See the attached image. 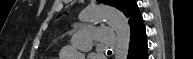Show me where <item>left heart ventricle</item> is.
I'll list each match as a JSON object with an SVG mask.
<instances>
[{
    "instance_id": "left-heart-ventricle-1",
    "label": "left heart ventricle",
    "mask_w": 193,
    "mask_h": 59,
    "mask_svg": "<svg viewBox=\"0 0 193 59\" xmlns=\"http://www.w3.org/2000/svg\"><path fill=\"white\" fill-rule=\"evenodd\" d=\"M76 51H78L81 55L80 59H84V55L87 54L88 52V48H80V49H75Z\"/></svg>"
}]
</instances>
